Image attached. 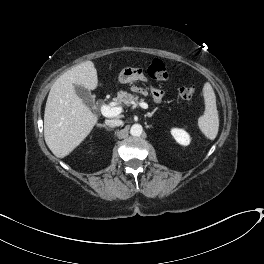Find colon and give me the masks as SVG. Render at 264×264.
Instances as JSON below:
<instances>
[{"instance_id":"5ec220e1","label":"colon","mask_w":264,"mask_h":264,"mask_svg":"<svg viewBox=\"0 0 264 264\" xmlns=\"http://www.w3.org/2000/svg\"><path fill=\"white\" fill-rule=\"evenodd\" d=\"M148 75L154 80L163 81L168 78V70L162 61L153 60L148 67ZM194 95L195 90L192 87L182 86L179 88V96L183 100H192Z\"/></svg>"}]
</instances>
